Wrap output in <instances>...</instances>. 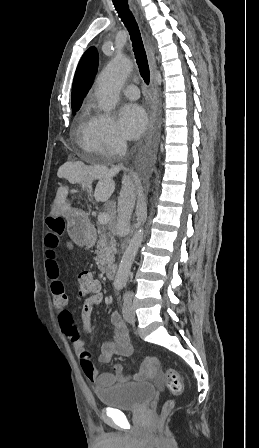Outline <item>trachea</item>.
<instances>
[{"mask_svg":"<svg viewBox=\"0 0 259 448\" xmlns=\"http://www.w3.org/2000/svg\"><path fill=\"white\" fill-rule=\"evenodd\" d=\"M113 4L119 13L120 18L129 31L133 51L135 54L136 62L143 78L144 82L148 85L150 82V70L148 66V60L144 49L143 41L141 38L140 30L137 22L129 10L128 0H112Z\"/></svg>","mask_w":259,"mask_h":448,"instance_id":"trachea-1","label":"trachea"}]
</instances>
